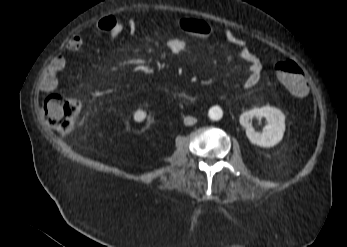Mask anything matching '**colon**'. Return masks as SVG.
I'll return each instance as SVG.
<instances>
[{
	"label": "colon",
	"instance_id": "colon-1",
	"mask_svg": "<svg viewBox=\"0 0 347 247\" xmlns=\"http://www.w3.org/2000/svg\"><path fill=\"white\" fill-rule=\"evenodd\" d=\"M274 74L291 93L303 97L308 92V83L302 68L291 59L278 61ZM46 121L60 133H70L77 122L81 103L74 98L50 94L44 103Z\"/></svg>",
	"mask_w": 347,
	"mask_h": 247
}]
</instances>
